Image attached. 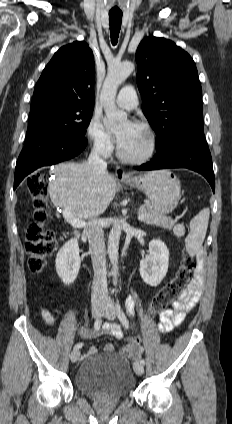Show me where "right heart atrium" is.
<instances>
[{"instance_id":"1","label":"right heart atrium","mask_w":232,"mask_h":424,"mask_svg":"<svg viewBox=\"0 0 232 424\" xmlns=\"http://www.w3.org/2000/svg\"><path fill=\"white\" fill-rule=\"evenodd\" d=\"M85 134L93 151L103 157L111 155L114 150L113 137L99 117L93 115L89 119Z\"/></svg>"}]
</instances>
